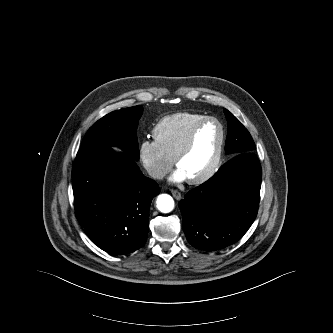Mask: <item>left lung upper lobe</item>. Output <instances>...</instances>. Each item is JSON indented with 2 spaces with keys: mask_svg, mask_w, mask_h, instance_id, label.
<instances>
[{
  "mask_svg": "<svg viewBox=\"0 0 333 333\" xmlns=\"http://www.w3.org/2000/svg\"><path fill=\"white\" fill-rule=\"evenodd\" d=\"M224 113L228 122V134L225 144L226 153L236 155L253 152L255 144L248 130L227 109H224Z\"/></svg>",
  "mask_w": 333,
  "mask_h": 333,
  "instance_id": "left-lung-upper-lobe-1",
  "label": "left lung upper lobe"
}]
</instances>
